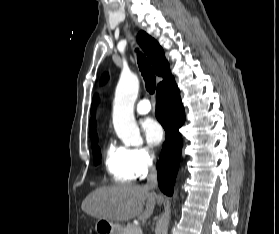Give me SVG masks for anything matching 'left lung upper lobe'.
<instances>
[{"mask_svg":"<svg viewBox=\"0 0 279 234\" xmlns=\"http://www.w3.org/2000/svg\"><path fill=\"white\" fill-rule=\"evenodd\" d=\"M96 99H97V97L94 98L92 106L94 105V102H95Z\"/></svg>","mask_w":279,"mask_h":234,"instance_id":"left-lung-upper-lobe-1","label":"left lung upper lobe"}]
</instances>
